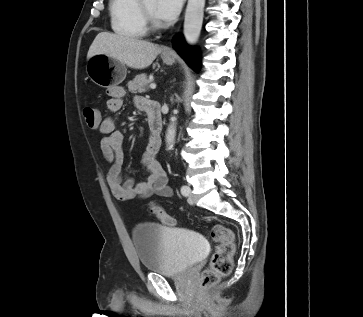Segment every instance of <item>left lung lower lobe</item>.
I'll return each mask as SVG.
<instances>
[{
  "instance_id": "0a47b994",
  "label": "left lung lower lobe",
  "mask_w": 363,
  "mask_h": 317,
  "mask_svg": "<svg viewBox=\"0 0 363 317\" xmlns=\"http://www.w3.org/2000/svg\"><path fill=\"white\" fill-rule=\"evenodd\" d=\"M173 47L178 54L188 63V65L197 71L198 59L193 49L189 48L183 38L176 37L173 40Z\"/></svg>"
}]
</instances>
